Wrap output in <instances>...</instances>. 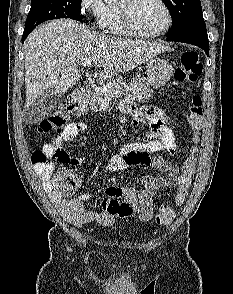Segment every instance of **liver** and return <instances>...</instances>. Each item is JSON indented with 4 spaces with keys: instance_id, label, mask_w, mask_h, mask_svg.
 Listing matches in <instances>:
<instances>
[{
    "instance_id": "6515ba94",
    "label": "liver",
    "mask_w": 233,
    "mask_h": 294,
    "mask_svg": "<svg viewBox=\"0 0 233 294\" xmlns=\"http://www.w3.org/2000/svg\"><path fill=\"white\" fill-rule=\"evenodd\" d=\"M167 50L157 41L106 36L69 19L37 27L24 43L26 107L33 108L45 90L66 93L80 79L79 66L86 58L110 78L130 71Z\"/></svg>"
}]
</instances>
